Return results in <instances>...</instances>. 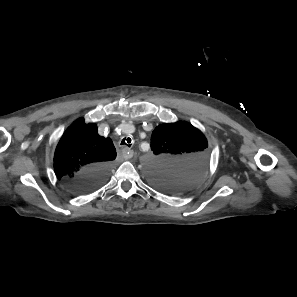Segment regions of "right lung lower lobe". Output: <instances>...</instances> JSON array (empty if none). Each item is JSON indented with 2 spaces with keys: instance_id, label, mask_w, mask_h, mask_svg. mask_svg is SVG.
I'll list each match as a JSON object with an SVG mask.
<instances>
[{
  "instance_id": "1",
  "label": "right lung lower lobe",
  "mask_w": 297,
  "mask_h": 297,
  "mask_svg": "<svg viewBox=\"0 0 297 297\" xmlns=\"http://www.w3.org/2000/svg\"><path fill=\"white\" fill-rule=\"evenodd\" d=\"M110 169V164L90 166L76 174L67 183L75 193H87L105 183L110 174Z\"/></svg>"
}]
</instances>
